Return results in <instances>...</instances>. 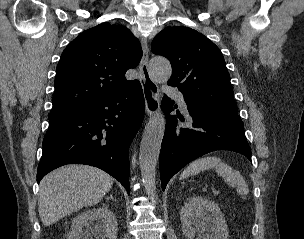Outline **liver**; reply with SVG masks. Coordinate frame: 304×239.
Instances as JSON below:
<instances>
[{"mask_svg": "<svg viewBox=\"0 0 304 239\" xmlns=\"http://www.w3.org/2000/svg\"><path fill=\"white\" fill-rule=\"evenodd\" d=\"M113 185L106 172L87 165H67L40 182L38 211L49 226L84 206L97 204Z\"/></svg>", "mask_w": 304, "mask_h": 239, "instance_id": "liver-1", "label": "liver"}]
</instances>
